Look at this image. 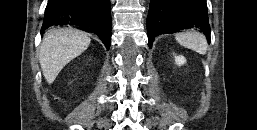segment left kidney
Returning a JSON list of instances; mask_svg holds the SVG:
<instances>
[{"label": "left kidney", "instance_id": "5707ae66", "mask_svg": "<svg viewBox=\"0 0 257 130\" xmlns=\"http://www.w3.org/2000/svg\"><path fill=\"white\" fill-rule=\"evenodd\" d=\"M175 63L181 66L186 63V59L183 56H175Z\"/></svg>", "mask_w": 257, "mask_h": 130}]
</instances>
